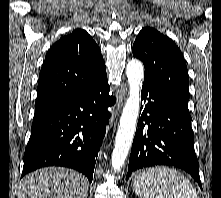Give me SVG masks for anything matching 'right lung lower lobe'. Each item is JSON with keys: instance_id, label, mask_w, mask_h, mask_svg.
<instances>
[{"instance_id": "98d812e1", "label": "right lung lower lobe", "mask_w": 221, "mask_h": 198, "mask_svg": "<svg viewBox=\"0 0 221 198\" xmlns=\"http://www.w3.org/2000/svg\"><path fill=\"white\" fill-rule=\"evenodd\" d=\"M107 77L88 89L35 115L24 153L22 176L46 166H64L83 173L90 182L110 118Z\"/></svg>"}]
</instances>
